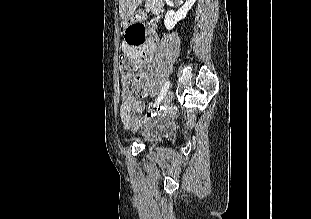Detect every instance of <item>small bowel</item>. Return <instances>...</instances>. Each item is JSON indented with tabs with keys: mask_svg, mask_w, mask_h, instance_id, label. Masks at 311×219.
<instances>
[{
	"mask_svg": "<svg viewBox=\"0 0 311 219\" xmlns=\"http://www.w3.org/2000/svg\"><path fill=\"white\" fill-rule=\"evenodd\" d=\"M158 39L154 36L153 31L150 30L148 35H145V30L139 41L129 43L125 41L122 44L123 55L129 56L134 60L136 65L140 68V77L147 81V75L144 68L148 67L154 58L157 48ZM130 74L122 77V100L119 115L122 123L128 128H136L141 123V115L144 111L143 103L136 97L134 92L128 88ZM147 86V85H146ZM169 130L168 121L161 122L153 131L151 136L156 137L160 134L167 133Z\"/></svg>",
	"mask_w": 311,
	"mask_h": 219,
	"instance_id": "obj_1",
	"label": "small bowel"
}]
</instances>
